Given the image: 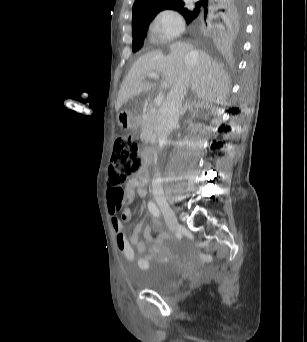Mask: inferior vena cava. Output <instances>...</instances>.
<instances>
[{"mask_svg":"<svg viewBox=\"0 0 307 342\" xmlns=\"http://www.w3.org/2000/svg\"><path fill=\"white\" fill-rule=\"evenodd\" d=\"M196 52H190L186 56L185 72L178 78L176 84L172 86L165 102H163L158 112V150H163L167 136L171 134L173 128L178 124L182 102L190 84L192 72L191 60ZM153 192L163 194L162 178L160 172H155L152 180Z\"/></svg>","mask_w":307,"mask_h":342,"instance_id":"1","label":"inferior vena cava"}]
</instances>
